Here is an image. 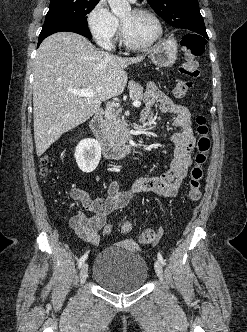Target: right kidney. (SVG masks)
Here are the masks:
<instances>
[{"label":"right kidney","instance_id":"right-kidney-1","mask_svg":"<svg viewBox=\"0 0 247 332\" xmlns=\"http://www.w3.org/2000/svg\"><path fill=\"white\" fill-rule=\"evenodd\" d=\"M74 156L80 170L85 173H90L94 171L99 164L101 146L95 139H83L76 146Z\"/></svg>","mask_w":247,"mask_h":332}]
</instances>
